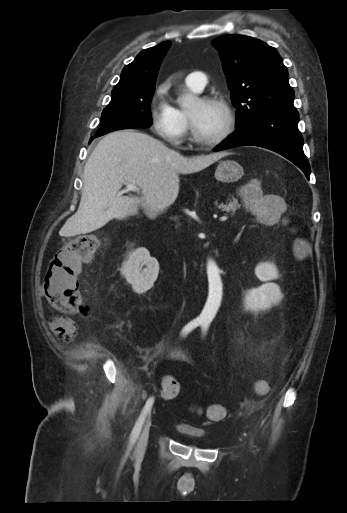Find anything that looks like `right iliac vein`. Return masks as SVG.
I'll list each match as a JSON object with an SVG mask.
<instances>
[{"instance_id": "obj_1", "label": "right iliac vein", "mask_w": 347, "mask_h": 513, "mask_svg": "<svg viewBox=\"0 0 347 513\" xmlns=\"http://www.w3.org/2000/svg\"><path fill=\"white\" fill-rule=\"evenodd\" d=\"M150 426H151V419L149 416L146 420V423L144 425V428L142 430V433H141L140 438L137 443V447H136L137 455H142L145 452V449H146V446L148 443Z\"/></svg>"}]
</instances>
